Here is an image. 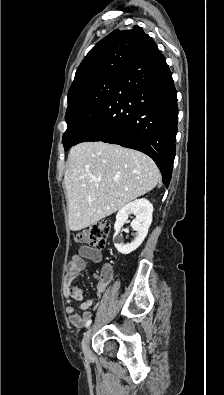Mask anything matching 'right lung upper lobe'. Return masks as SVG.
<instances>
[{"label":"right lung upper lobe","instance_id":"cb5924a9","mask_svg":"<svg viewBox=\"0 0 224 395\" xmlns=\"http://www.w3.org/2000/svg\"><path fill=\"white\" fill-rule=\"evenodd\" d=\"M149 37L137 25L129 30H114L99 41L78 67L69 89L74 91L106 76L122 75Z\"/></svg>","mask_w":224,"mask_h":395}]
</instances>
